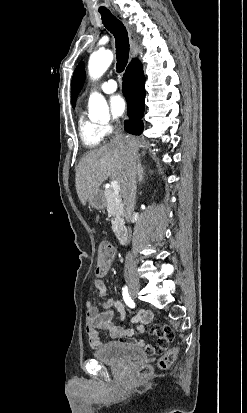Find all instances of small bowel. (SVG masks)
I'll list each match as a JSON object with an SVG mask.
<instances>
[{
  "mask_svg": "<svg viewBox=\"0 0 247 413\" xmlns=\"http://www.w3.org/2000/svg\"><path fill=\"white\" fill-rule=\"evenodd\" d=\"M92 290H96L102 298L106 296L107 288L103 277H97L96 280L93 281L90 291ZM100 307L105 309V311L100 312ZM115 312L120 314V322H123L125 320V306L121 301L108 298L103 301L100 306L93 305L89 302L87 303L85 329L91 346L94 348L102 346L103 341L100 335V330H105L115 340L114 347L116 349L144 348L145 342L138 340V336L134 333L146 329L153 319L152 312L143 309L133 316L131 318V324L135 325V328H125L121 324H114L112 319ZM165 328L166 325H161L160 322H153L151 324V329L156 331V336L158 338L166 336V340H162L158 347L148 346L146 349L148 355H165L167 353V348L169 347L168 341L176 336V331L174 329H167L164 331L163 329ZM104 347L106 349H111L113 347V342L111 340H106L104 342Z\"/></svg>",
  "mask_w": 247,
  "mask_h": 413,
  "instance_id": "1",
  "label": "small bowel"
}]
</instances>
